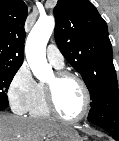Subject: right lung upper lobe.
<instances>
[{"instance_id": "cb5924a9", "label": "right lung upper lobe", "mask_w": 119, "mask_h": 141, "mask_svg": "<svg viewBox=\"0 0 119 141\" xmlns=\"http://www.w3.org/2000/svg\"><path fill=\"white\" fill-rule=\"evenodd\" d=\"M26 17L27 6L22 0H0V67L22 65Z\"/></svg>"}]
</instances>
